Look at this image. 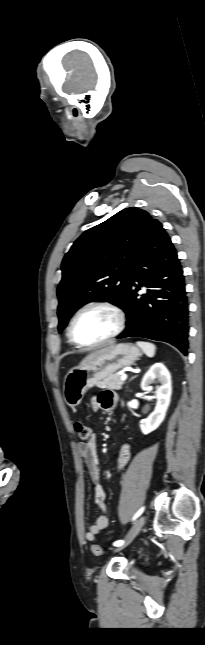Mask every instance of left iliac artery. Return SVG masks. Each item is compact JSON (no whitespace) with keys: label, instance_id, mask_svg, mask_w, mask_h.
<instances>
[{"label":"left iliac artery","instance_id":"1","mask_svg":"<svg viewBox=\"0 0 205 645\" xmlns=\"http://www.w3.org/2000/svg\"><path fill=\"white\" fill-rule=\"evenodd\" d=\"M143 510H144V507H142V508H141V509H140V510H139V511L134 515L133 520H135L137 517H139V516L141 515V513L143 512ZM123 543H124V541H123V540H118V541H115V542L113 543V545H114V546H116V547H118V546H121Z\"/></svg>","mask_w":205,"mask_h":645}]
</instances>
